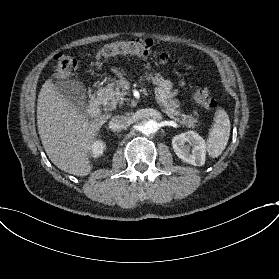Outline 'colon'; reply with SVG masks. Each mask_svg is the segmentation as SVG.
I'll list each match as a JSON object with an SVG mask.
<instances>
[{
	"instance_id": "obj_1",
	"label": "colon",
	"mask_w": 279,
	"mask_h": 279,
	"mask_svg": "<svg viewBox=\"0 0 279 279\" xmlns=\"http://www.w3.org/2000/svg\"><path fill=\"white\" fill-rule=\"evenodd\" d=\"M153 43L145 39L119 40L103 44L96 53L97 59H106L114 56H154L152 50ZM161 61H172L176 64L181 63L177 57H172L169 53L159 54ZM76 67V61L66 54L59 53L55 58V69L63 75L68 76L73 73ZM195 98L199 106L205 110H214L215 101L210 90L204 85H198L195 91Z\"/></svg>"
}]
</instances>
